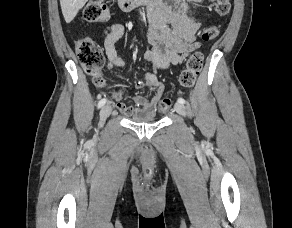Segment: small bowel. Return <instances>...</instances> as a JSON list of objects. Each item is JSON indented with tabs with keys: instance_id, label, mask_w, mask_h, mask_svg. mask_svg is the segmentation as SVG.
I'll return each mask as SVG.
<instances>
[{
	"instance_id": "1",
	"label": "small bowel",
	"mask_w": 292,
	"mask_h": 228,
	"mask_svg": "<svg viewBox=\"0 0 292 228\" xmlns=\"http://www.w3.org/2000/svg\"><path fill=\"white\" fill-rule=\"evenodd\" d=\"M213 1V0H211ZM201 0H166L150 8L148 19V48L144 60L149 71L144 74L145 83L154 90L151 98L134 94L137 107L117 102V108L125 115L154 116L157 104L164 92V85L158 79V71L180 64L193 50L200 46L196 34L200 24L192 16L193 3ZM121 24L108 25L103 30L104 48L108 62L106 69L116 75V68L124 67V60L117 54L115 44L125 35ZM141 87V84L138 85Z\"/></svg>"
}]
</instances>
